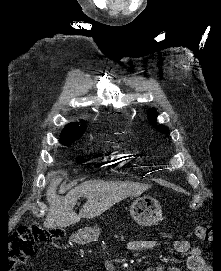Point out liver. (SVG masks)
I'll return each mask as SVG.
<instances>
[{
	"label": "liver",
	"instance_id": "liver-1",
	"mask_svg": "<svg viewBox=\"0 0 221 271\" xmlns=\"http://www.w3.org/2000/svg\"><path fill=\"white\" fill-rule=\"evenodd\" d=\"M56 173L58 171L49 173L51 183L46 191L49 211L43 223L44 227H67L72 223H78L81 217L91 219V217L101 215L124 197L136 195V193H142L143 191V187H139V185L107 183V181L89 179V181L77 185L67 195H58L57 189L59 183H61V177ZM79 195L87 197V201L82 205L79 213H76L73 209Z\"/></svg>",
	"mask_w": 221,
	"mask_h": 271
}]
</instances>
